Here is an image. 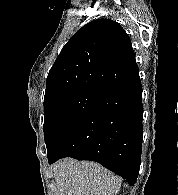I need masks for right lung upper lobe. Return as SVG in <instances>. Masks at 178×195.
<instances>
[{
	"instance_id": "obj_1",
	"label": "right lung upper lobe",
	"mask_w": 178,
	"mask_h": 195,
	"mask_svg": "<svg viewBox=\"0 0 178 195\" xmlns=\"http://www.w3.org/2000/svg\"><path fill=\"white\" fill-rule=\"evenodd\" d=\"M139 72L125 30L109 19L79 29L49 71L44 101L76 90L100 91Z\"/></svg>"
}]
</instances>
